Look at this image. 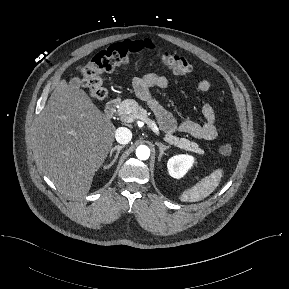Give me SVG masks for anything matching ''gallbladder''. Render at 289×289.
Returning <instances> with one entry per match:
<instances>
[{"mask_svg": "<svg viewBox=\"0 0 289 289\" xmlns=\"http://www.w3.org/2000/svg\"><path fill=\"white\" fill-rule=\"evenodd\" d=\"M70 85H72L73 87H80L81 81L78 77H74L70 80Z\"/></svg>", "mask_w": 289, "mask_h": 289, "instance_id": "obj_1", "label": "gallbladder"}]
</instances>
